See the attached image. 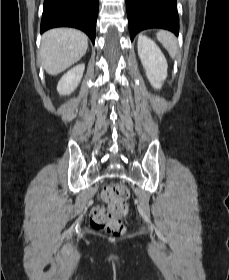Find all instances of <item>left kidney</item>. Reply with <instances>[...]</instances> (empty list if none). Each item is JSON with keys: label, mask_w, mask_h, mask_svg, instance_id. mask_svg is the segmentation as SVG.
Masks as SVG:
<instances>
[{"label": "left kidney", "mask_w": 229, "mask_h": 280, "mask_svg": "<svg viewBox=\"0 0 229 280\" xmlns=\"http://www.w3.org/2000/svg\"><path fill=\"white\" fill-rule=\"evenodd\" d=\"M138 55L145 69L146 76L155 89H160L167 77V61L159 47L144 35L137 42Z\"/></svg>", "instance_id": "1"}]
</instances>
